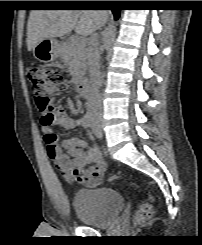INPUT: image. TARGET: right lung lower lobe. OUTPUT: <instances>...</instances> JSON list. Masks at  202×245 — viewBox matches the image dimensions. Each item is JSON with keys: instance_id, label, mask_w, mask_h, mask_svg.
<instances>
[{"instance_id": "98d812e1", "label": "right lung lower lobe", "mask_w": 202, "mask_h": 245, "mask_svg": "<svg viewBox=\"0 0 202 245\" xmlns=\"http://www.w3.org/2000/svg\"><path fill=\"white\" fill-rule=\"evenodd\" d=\"M103 6L111 7L114 14V18L117 20L120 16V9L118 8V3L116 1L103 2Z\"/></svg>"}]
</instances>
